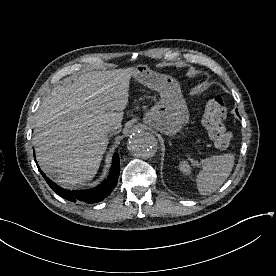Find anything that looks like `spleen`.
<instances>
[{
    "label": "spleen",
    "instance_id": "obj_1",
    "mask_svg": "<svg viewBox=\"0 0 276 276\" xmlns=\"http://www.w3.org/2000/svg\"><path fill=\"white\" fill-rule=\"evenodd\" d=\"M233 154L216 155L202 161L203 170L196 178L197 188L201 195L215 192L229 177L234 166ZM179 170L183 174H190L191 167L187 161L179 163Z\"/></svg>",
    "mask_w": 276,
    "mask_h": 276
}]
</instances>
